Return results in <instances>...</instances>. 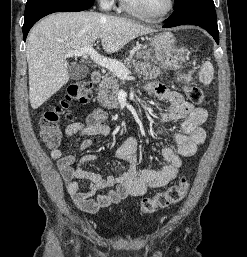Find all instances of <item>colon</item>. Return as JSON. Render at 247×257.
<instances>
[{
	"label": "colon",
	"mask_w": 247,
	"mask_h": 257,
	"mask_svg": "<svg viewBox=\"0 0 247 257\" xmlns=\"http://www.w3.org/2000/svg\"><path fill=\"white\" fill-rule=\"evenodd\" d=\"M184 91L190 102L197 105L204 103L205 96L199 87L187 85L184 87ZM90 98L91 84L86 81H77L68 86L64 98L57 106L44 113L40 119V135L48 149L54 150L60 146L62 139L59 125L60 115L66 113L67 119L73 117L71 113L66 112L69 103L79 102L85 104ZM188 189V179L182 178L178 184L160 191L152 197L144 198L141 201L140 211L144 215H149L158 209L177 204L186 196Z\"/></svg>",
	"instance_id": "obj_1"
}]
</instances>
